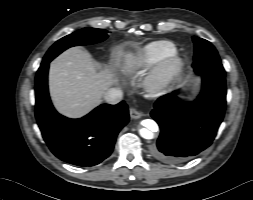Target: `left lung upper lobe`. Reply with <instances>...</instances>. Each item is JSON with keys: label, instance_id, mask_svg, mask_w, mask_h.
Wrapping results in <instances>:
<instances>
[{"label": "left lung upper lobe", "instance_id": "1", "mask_svg": "<svg viewBox=\"0 0 253 200\" xmlns=\"http://www.w3.org/2000/svg\"><path fill=\"white\" fill-rule=\"evenodd\" d=\"M195 46L193 68L195 73L214 74L225 77V70L215 47L207 40L193 37Z\"/></svg>", "mask_w": 253, "mask_h": 200}]
</instances>
